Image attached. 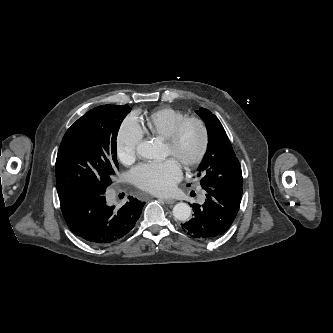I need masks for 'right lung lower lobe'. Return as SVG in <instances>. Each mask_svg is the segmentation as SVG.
<instances>
[{
	"mask_svg": "<svg viewBox=\"0 0 333 333\" xmlns=\"http://www.w3.org/2000/svg\"><path fill=\"white\" fill-rule=\"evenodd\" d=\"M145 202L129 197L121 208L108 206L104 194L84 193L60 199L70 230L93 245H109L124 238L135 226Z\"/></svg>",
	"mask_w": 333,
	"mask_h": 333,
	"instance_id": "right-lung-lower-lobe-1",
	"label": "right lung lower lobe"
}]
</instances>
